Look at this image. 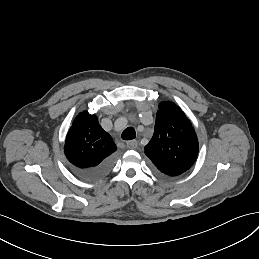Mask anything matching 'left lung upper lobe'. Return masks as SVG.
<instances>
[{"label": "left lung upper lobe", "instance_id": "left-lung-upper-lobe-1", "mask_svg": "<svg viewBox=\"0 0 259 259\" xmlns=\"http://www.w3.org/2000/svg\"><path fill=\"white\" fill-rule=\"evenodd\" d=\"M198 139L184 112L173 102H162L156 115L154 134L145 146L155 169L168 177L186 172L198 155Z\"/></svg>", "mask_w": 259, "mask_h": 259}]
</instances>
